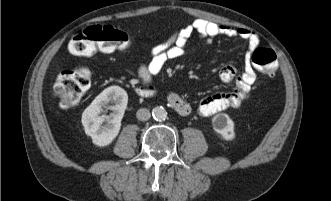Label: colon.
Listing matches in <instances>:
<instances>
[{"mask_svg":"<svg viewBox=\"0 0 331 201\" xmlns=\"http://www.w3.org/2000/svg\"><path fill=\"white\" fill-rule=\"evenodd\" d=\"M132 44L127 33L108 25L90 26L75 35L69 42V51L78 56H90L97 52L125 50ZM252 61L269 76L275 71L276 55L268 48H258L252 54ZM91 85V75L86 69L65 70L57 77L54 93L61 107L70 108L77 104ZM269 87L268 79L263 81Z\"/></svg>","mask_w":331,"mask_h":201,"instance_id":"colon-1","label":"colon"}]
</instances>
